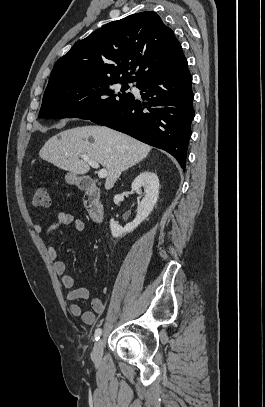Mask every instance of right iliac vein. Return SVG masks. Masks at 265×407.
<instances>
[{
    "mask_svg": "<svg viewBox=\"0 0 265 407\" xmlns=\"http://www.w3.org/2000/svg\"><path fill=\"white\" fill-rule=\"evenodd\" d=\"M102 353H103V340L100 339L96 342L93 352H92V359L96 362L99 363L102 358Z\"/></svg>",
    "mask_w": 265,
    "mask_h": 407,
    "instance_id": "right-iliac-vein-1",
    "label": "right iliac vein"
}]
</instances>
